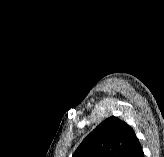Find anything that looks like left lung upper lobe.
Masks as SVG:
<instances>
[{"label": "left lung upper lobe", "mask_w": 164, "mask_h": 157, "mask_svg": "<svg viewBox=\"0 0 164 157\" xmlns=\"http://www.w3.org/2000/svg\"><path fill=\"white\" fill-rule=\"evenodd\" d=\"M135 138L128 124L111 116L82 141L72 157H125Z\"/></svg>", "instance_id": "left-lung-upper-lobe-1"}]
</instances>
